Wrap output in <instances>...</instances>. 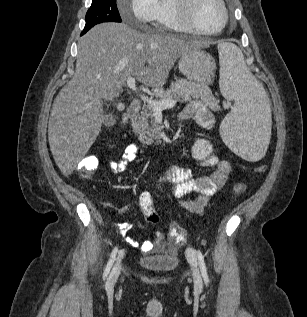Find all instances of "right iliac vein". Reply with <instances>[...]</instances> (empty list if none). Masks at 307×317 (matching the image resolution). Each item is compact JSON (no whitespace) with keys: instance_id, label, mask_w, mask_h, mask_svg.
Returning a JSON list of instances; mask_svg holds the SVG:
<instances>
[{"instance_id":"1","label":"right iliac vein","mask_w":307,"mask_h":317,"mask_svg":"<svg viewBox=\"0 0 307 317\" xmlns=\"http://www.w3.org/2000/svg\"><path fill=\"white\" fill-rule=\"evenodd\" d=\"M122 257H123V253H120V257H119L118 261L116 262L114 268L112 269V271L109 275L108 284H114L117 281V279L120 275V272H121Z\"/></svg>"}]
</instances>
